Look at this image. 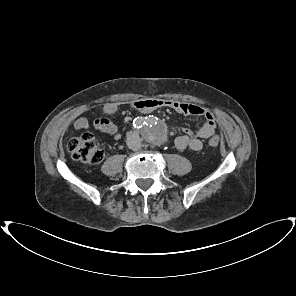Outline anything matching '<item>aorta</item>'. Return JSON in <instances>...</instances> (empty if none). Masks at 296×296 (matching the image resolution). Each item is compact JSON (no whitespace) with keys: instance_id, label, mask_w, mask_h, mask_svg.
Instances as JSON below:
<instances>
[{"instance_id":"obj_1","label":"aorta","mask_w":296,"mask_h":296,"mask_svg":"<svg viewBox=\"0 0 296 296\" xmlns=\"http://www.w3.org/2000/svg\"><path fill=\"white\" fill-rule=\"evenodd\" d=\"M147 141L154 144H162L166 140V131L159 128V124L154 118L147 122V130L144 133Z\"/></svg>"}]
</instances>
